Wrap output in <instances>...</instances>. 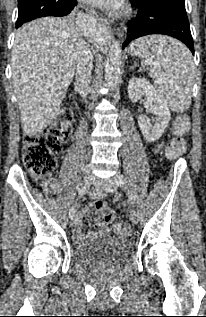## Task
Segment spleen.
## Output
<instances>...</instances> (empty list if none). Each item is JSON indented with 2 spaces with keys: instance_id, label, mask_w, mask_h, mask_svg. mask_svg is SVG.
Returning <instances> with one entry per match:
<instances>
[{
  "instance_id": "spleen-1",
  "label": "spleen",
  "mask_w": 206,
  "mask_h": 317,
  "mask_svg": "<svg viewBox=\"0 0 206 317\" xmlns=\"http://www.w3.org/2000/svg\"><path fill=\"white\" fill-rule=\"evenodd\" d=\"M132 56L146 58L157 72L155 90L168 108L186 111L191 103L193 61L179 41L161 35L142 37L131 43Z\"/></svg>"
}]
</instances>
